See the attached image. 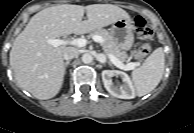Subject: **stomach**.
I'll return each mask as SVG.
<instances>
[{
  "instance_id": "0dacf381",
  "label": "stomach",
  "mask_w": 194,
  "mask_h": 133,
  "mask_svg": "<svg viewBox=\"0 0 194 133\" xmlns=\"http://www.w3.org/2000/svg\"><path fill=\"white\" fill-rule=\"evenodd\" d=\"M133 25L130 18H121L109 29L114 41L121 50L128 51L134 42Z\"/></svg>"
}]
</instances>
